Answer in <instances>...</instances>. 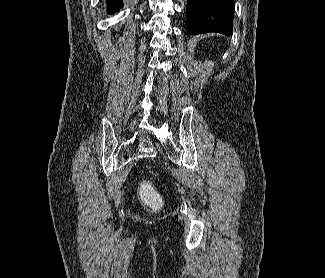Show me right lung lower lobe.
Wrapping results in <instances>:
<instances>
[{
    "label": "right lung lower lobe",
    "instance_id": "right-lung-lower-lobe-1",
    "mask_svg": "<svg viewBox=\"0 0 325 278\" xmlns=\"http://www.w3.org/2000/svg\"><path fill=\"white\" fill-rule=\"evenodd\" d=\"M108 11L109 12H114L118 11L119 8L122 6V1L121 0H109L108 1Z\"/></svg>",
    "mask_w": 325,
    "mask_h": 278
}]
</instances>
